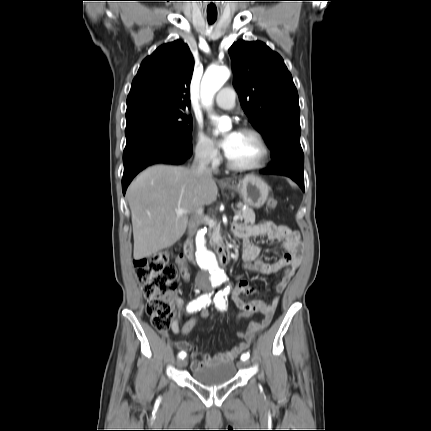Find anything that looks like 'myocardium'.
<instances>
[{"label": "myocardium", "instance_id": "obj_1", "mask_svg": "<svg viewBox=\"0 0 431 431\" xmlns=\"http://www.w3.org/2000/svg\"><path fill=\"white\" fill-rule=\"evenodd\" d=\"M239 133L249 134L256 139L257 143L261 148V157L257 162L253 164L240 165L232 162L226 154L225 155L226 165L232 170L241 171V172L253 171V170H258L260 168H263L269 161L270 149L262 134L256 129H253L250 127H243L239 129Z\"/></svg>", "mask_w": 431, "mask_h": 431}]
</instances>
